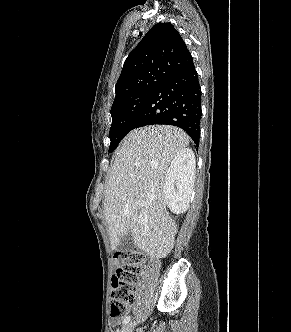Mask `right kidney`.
Returning <instances> with one entry per match:
<instances>
[{"mask_svg": "<svg viewBox=\"0 0 291 332\" xmlns=\"http://www.w3.org/2000/svg\"><path fill=\"white\" fill-rule=\"evenodd\" d=\"M196 171L195 156L185 148L177 153L164 182V199L168 208L176 214L185 212L193 192Z\"/></svg>", "mask_w": 291, "mask_h": 332, "instance_id": "ca27d5eb", "label": "right kidney"}]
</instances>
